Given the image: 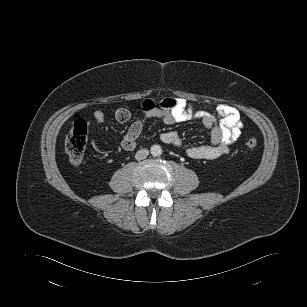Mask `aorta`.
Wrapping results in <instances>:
<instances>
[{"label": "aorta", "instance_id": "762f6f07", "mask_svg": "<svg viewBox=\"0 0 307 307\" xmlns=\"http://www.w3.org/2000/svg\"><path fill=\"white\" fill-rule=\"evenodd\" d=\"M152 156H160L162 154V148L160 145H152L150 148Z\"/></svg>", "mask_w": 307, "mask_h": 307}]
</instances>
